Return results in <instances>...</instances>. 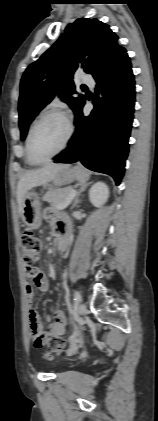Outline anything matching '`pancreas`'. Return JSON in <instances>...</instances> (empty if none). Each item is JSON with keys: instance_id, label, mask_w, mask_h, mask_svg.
I'll return each instance as SVG.
<instances>
[{"instance_id": "obj_1", "label": "pancreas", "mask_w": 158, "mask_h": 421, "mask_svg": "<svg viewBox=\"0 0 158 421\" xmlns=\"http://www.w3.org/2000/svg\"><path fill=\"white\" fill-rule=\"evenodd\" d=\"M72 190H73L72 187L49 190L43 196V200L50 203L52 207L58 209L59 206L63 205L66 202Z\"/></svg>"}]
</instances>
